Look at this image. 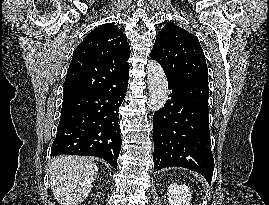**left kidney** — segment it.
<instances>
[{
	"mask_svg": "<svg viewBox=\"0 0 269 205\" xmlns=\"http://www.w3.org/2000/svg\"><path fill=\"white\" fill-rule=\"evenodd\" d=\"M191 193L186 185H177L175 183L168 186V201L170 205H191Z\"/></svg>",
	"mask_w": 269,
	"mask_h": 205,
	"instance_id": "5707ae66",
	"label": "left kidney"
}]
</instances>
